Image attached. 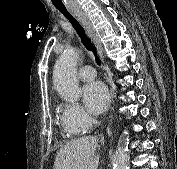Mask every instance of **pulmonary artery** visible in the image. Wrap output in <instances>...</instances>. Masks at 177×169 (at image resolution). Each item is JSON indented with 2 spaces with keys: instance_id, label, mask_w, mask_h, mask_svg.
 <instances>
[{
  "instance_id": "1",
  "label": "pulmonary artery",
  "mask_w": 177,
  "mask_h": 169,
  "mask_svg": "<svg viewBox=\"0 0 177 169\" xmlns=\"http://www.w3.org/2000/svg\"><path fill=\"white\" fill-rule=\"evenodd\" d=\"M79 78L83 81H91L96 77V72L92 66H83L79 70Z\"/></svg>"
}]
</instances>
